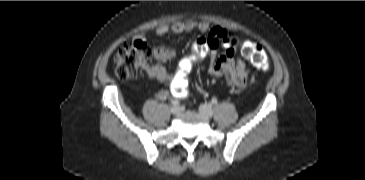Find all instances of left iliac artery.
<instances>
[{"label": "left iliac artery", "mask_w": 365, "mask_h": 180, "mask_svg": "<svg viewBox=\"0 0 365 180\" xmlns=\"http://www.w3.org/2000/svg\"><path fill=\"white\" fill-rule=\"evenodd\" d=\"M217 102H218V101H217V99H216V98H213V99H212V101H211V103H212V104H217Z\"/></svg>", "instance_id": "44dca946"}]
</instances>
